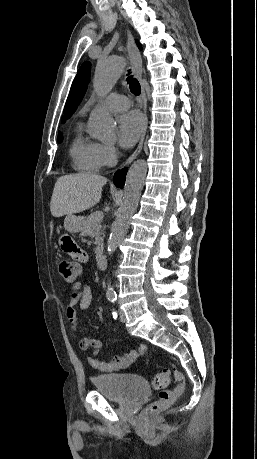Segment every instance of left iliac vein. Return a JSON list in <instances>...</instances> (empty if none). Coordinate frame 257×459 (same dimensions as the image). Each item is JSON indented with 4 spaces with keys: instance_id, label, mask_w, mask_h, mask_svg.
<instances>
[{
    "instance_id": "1",
    "label": "left iliac vein",
    "mask_w": 257,
    "mask_h": 459,
    "mask_svg": "<svg viewBox=\"0 0 257 459\" xmlns=\"http://www.w3.org/2000/svg\"><path fill=\"white\" fill-rule=\"evenodd\" d=\"M119 318H120V321L121 322H125L126 321V316H125V313L122 309H119Z\"/></svg>"
}]
</instances>
